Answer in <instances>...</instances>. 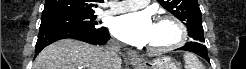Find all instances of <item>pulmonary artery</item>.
Instances as JSON below:
<instances>
[{"label": "pulmonary artery", "mask_w": 246, "mask_h": 69, "mask_svg": "<svg viewBox=\"0 0 246 69\" xmlns=\"http://www.w3.org/2000/svg\"><path fill=\"white\" fill-rule=\"evenodd\" d=\"M149 1L147 0H129V1H122L115 5L111 6V9L105 12L104 16H110L114 14H119L127 11L136 10L139 8L144 7Z\"/></svg>", "instance_id": "pulmonary-artery-1"}]
</instances>
